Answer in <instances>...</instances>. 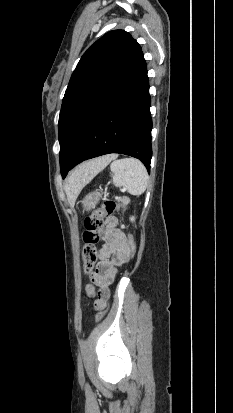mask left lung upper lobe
I'll list each match as a JSON object with an SVG mask.
<instances>
[{
	"mask_svg": "<svg viewBox=\"0 0 233 413\" xmlns=\"http://www.w3.org/2000/svg\"><path fill=\"white\" fill-rule=\"evenodd\" d=\"M141 51L128 32L114 30L93 43L77 64L59 115L60 166L74 157L94 116L120 85Z\"/></svg>",
	"mask_w": 233,
	"mask_h": 413,
	"instance_id": "1",
	"label": "left lung upper lobe"
}]
</instances>
